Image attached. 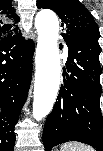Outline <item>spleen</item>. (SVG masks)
<instances>
[{
	"label": "spleen",
	"mask_w": 103,
	"mask_h": 151,
	"mask_svg": "<svg viewBox=\"0 0 103 151\" xmlns=\"http://www.w3.org/2000/svg\"><path fill=\"white\" fill-rule=\"evenodd\" d=\"M60 151H94V149L79 142H68L61 146Z\"/></svg>",
	"instance_id": "obj_1"
}]
</instances>
